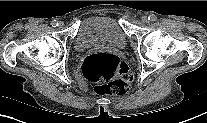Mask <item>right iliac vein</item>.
<instances>
[{
    "label": "right iliac vein",
    "mask_w": 207,
    "mask_h": 123,
    "mask_svg": "<svg viewBox=\"0 0 207 123\" xmlns=\"http://www.w3.org/2000/svg\"><path fill=\"white\" fill-rule=\"evenodd\" d=\"M63 25H64V24H63V22H61V21L58 23L59 28H62Z\"/></svg>",
    "instance_id": "1"
}]
</instances>
